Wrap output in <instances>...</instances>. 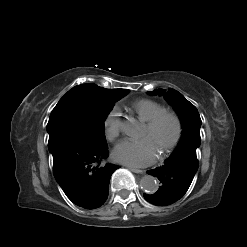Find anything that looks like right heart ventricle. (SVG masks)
<instances>
[{
  "label": "right heart ventricle",
  "mask_w": 247,
  "mask_h": 247,
  "mask_svg": "<svg viewBox=\"0 0 247 247\" xmlns=\"http://www.w3.org/2000/svg\"><path fill=\"white\" fill-rule=\"evenodd\" d=\"M132 108L139 117L144 122L149 121L158 113L165 110L164 106L159 102L152 99H139L132 104Z\"/></svg>",
  "instance_id": "e07e8e85"
}]
</instances>
